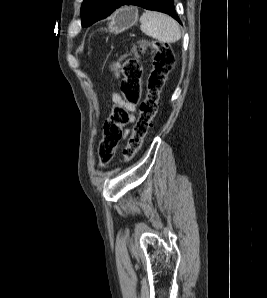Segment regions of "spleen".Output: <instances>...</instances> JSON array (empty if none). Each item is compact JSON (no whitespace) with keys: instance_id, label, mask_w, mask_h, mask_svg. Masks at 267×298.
<instances>
[{"instance_id":"obj_1","label":"spleen","mask_w":267,"mask_h":298,"mask_svg":"<svg viewBox=\"0 0 267 298\" xmlns=\"http://www.w3.org/2000/svg\"><path fill=\"white\" fill-rule=\"evenodd\" d=\"M140 23L141 31L159 42L175 43L181 38L179 24L166 14L146 11L142 14Z\"/></svg>"}]
</instances>
